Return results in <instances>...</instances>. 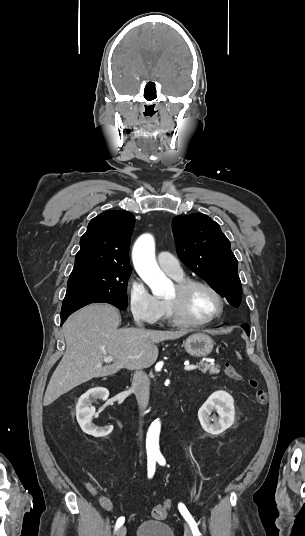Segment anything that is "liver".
Instances as JSON below:
<instances>
[{
	"instance_id": "6515ba94",
	"label": "liver",
	"mask_w": 305,
	"mask_h": 536,
	"mask_svg": "<svg viewBox=\"0 0 305 536\" xmlns=\"http://www.w3.org/2000/svg\"><path fill=\"white\" fill-rule=\"evenodd\" d=\"M120 322L118 310L109 304H90L68 318L63 326L65 354L47 386L43 406L92 378L112 376L122 368H150L159 354L155 344L188 334L137 328L117 330ZM104 354L113 356L111 366H102Z\"/></svg>"
}]
</instances>
